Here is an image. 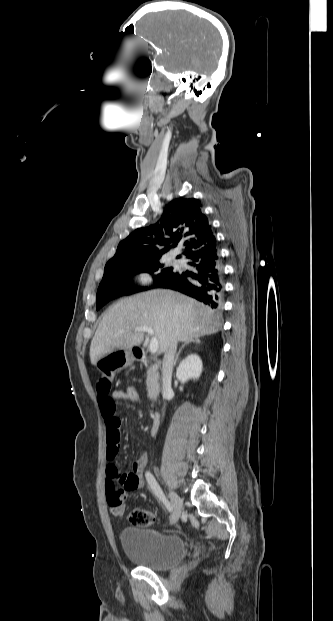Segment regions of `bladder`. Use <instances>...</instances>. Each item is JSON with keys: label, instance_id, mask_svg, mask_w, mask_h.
<instances>
[{"label": "bladder", "instance_id": "1", "mask_svg": "<svg viewBox=\"0 0 333 621\" xmlns=\"http://www.w3.org/2000/svg\"><path fill=\"white\" fill-rule=\"evenodd\" d=\"M120 540L128 560L152 570H165L179 564L187 552L181 537L148 527H126Z\"/></svg>", "mask_w": 333, "mask_h": 621}]
</instances>
